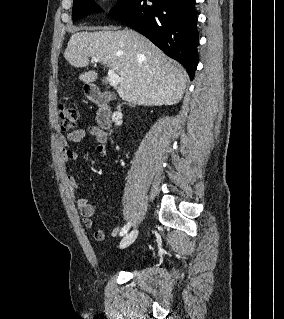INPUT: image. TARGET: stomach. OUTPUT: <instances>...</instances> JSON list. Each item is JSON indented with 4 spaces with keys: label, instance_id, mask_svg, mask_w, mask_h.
Here are the masks:
<instances>
[{
    "label": "stomach",
    "instance_id": "1",
    "mask_svg": "<svg viewBox=\"0 0 284 319\" xmlns=\"http://www.w3.org/2000/svg\"><path fill=\"white\" fill-rule=\"evenodd\" d=\"M87 90H88V86L85 87V92H87Z\"/></svg>",
    "mask_w": 284,
    "mask_h": 319
}]
</instances>
